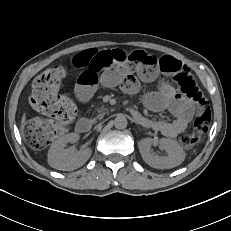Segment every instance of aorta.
I'll return each mask as SVG.
<instances>
[{"label":"aorta","instance_id":"1","mask_svg":"<svg viewBox=\"0 0 231 231\" xmlns=\"http://www.w3.org/2000/svg\"><path fill=\"white\" fill-rule=\"evenodd\" d=\"M128 121L125 116L118 115L114 120V126L117 129H125L127 127Z\"/></svg>","mask_w":231,"mask_h":231}]
</instances>
